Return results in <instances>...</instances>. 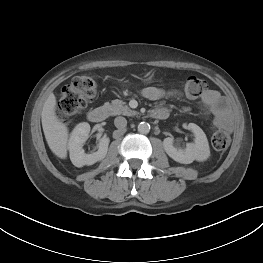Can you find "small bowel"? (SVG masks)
Returning a JSON list of instances; mask_svg holds the SVG:
<instances>
[{
    "instance_id": "c3829d8e",
    "label": "small bowel",
    "mask_w": 263,
    "mask_h": 263,
    "mask_svg": "<svg viewBox=\"0 0 263 263\" xmlns=\"http://www.w3.org/2000/svg\"><path fill=\"white\" fill-rule=\"evenodd\" d=\"M178 95V92L175 90H165L158 87H147L142 90V96L151 101H159ZM201 104L203 108L214 117L215 123L218 126L225 129L230 128L229 112L219 92L207 90L201 98Z\"/></svg>"
}]
</instances>
